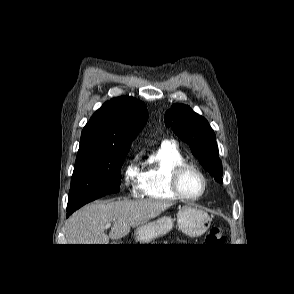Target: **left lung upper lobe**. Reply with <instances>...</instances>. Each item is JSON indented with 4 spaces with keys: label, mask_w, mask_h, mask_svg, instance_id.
<instances>
[{
    "label": "left lung upper lobe",
    "mask_w": 294,
    "mask_h": 294,
    "mask_svg": "<svg viewBox=\"0 0 294 294\" xmlns=\"http://www.w3.org/2000/svg\"><path fill=\"white\" fill-rule=\"evenodd\" d=\"M165 125L190 146L193 155L202 166L222 183V162L219 158L215 133L207 120L195 113L189 106L174 104L166 111Z\"/></svg>",
    "instance_id": "left-lung-upper-lobe-1"
}]
</instances>
